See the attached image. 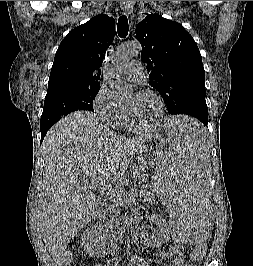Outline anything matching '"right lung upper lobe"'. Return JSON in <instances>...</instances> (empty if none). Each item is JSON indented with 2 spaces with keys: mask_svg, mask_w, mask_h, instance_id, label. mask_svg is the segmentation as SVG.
<instances>
[{
  "mask_svg": "<svg viewBox=\"0 0 253 266\" xmlns=\"http://www.w3.org/2000/svg\"><path fill=\"white\" fill-rule=\"evenodd\" d=\"M114 33L115 20L104 14L71 30L56 52L47 92L100 86V68Z\"/></svg>",
  "mask_w": 253,
  "mask_h": 266,
  "instance_id": "cb5924a9",
  "label": "right lung upper lobe"
}]
</instances>
